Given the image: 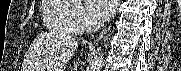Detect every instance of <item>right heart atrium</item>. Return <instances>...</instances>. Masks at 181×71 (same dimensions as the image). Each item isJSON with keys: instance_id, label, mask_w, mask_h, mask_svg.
<instances>
[{"instance_id": "d8ad5b80", "label": "right heart atrium", "mask_w": 181, "mask_h": 71, "mask_svg": "<svg viewBox=\"0 0 181 71\" xmlns=\"http://www.w3.org/2000/svg\"><path fill=\"white\" fill-rule=\"evenodd\" d=\"M62 2L72 7L67 14L69 28L72 33L80 34L93 26L94 22L81 0H62Z\"/></svg>"}]
</instances>
